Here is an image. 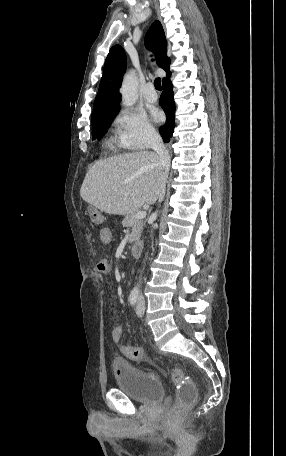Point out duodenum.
<instances>
[{"instance_id": "1", "label": "duodenum", "mask_w": 286, "mask_h": 456, "mask_svg": "<svg viewBox=\"0 0 286 456\" xmlns=\"http://www.w3.org/2000/svg\"><path fill=\"white\" fill-rule=\"evenodd\" d=\"M142 251V243L140 241L134 242L131 245V253L133 256L138 257Z\"/></svg>"}]
</instances>
